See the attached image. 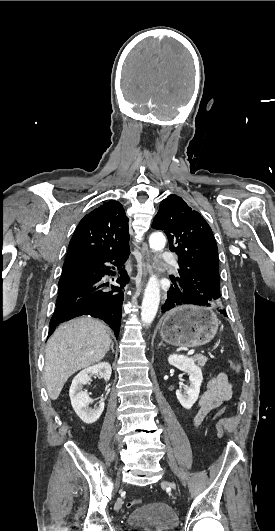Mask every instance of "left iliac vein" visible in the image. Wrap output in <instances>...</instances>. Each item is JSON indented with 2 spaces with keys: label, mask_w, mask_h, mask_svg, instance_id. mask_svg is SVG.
<instances>
[{
  "label": "left iliac vein",
  "mask_w": 275,
  "mask_h": 531,
  "mask_svg": "<svg viewBox=\"0 0 275 531\" xmlns=\"http://www.w3.org/2000/svg\"><path fill=\"white\" fill-rule=\"evenodd\" d=\"M164 483H167V482H166V481H164ZM168 485H169V486H171V487H173V488H175V487H176L174 483H168Z\"/></svg>",
  "instance_id": "4c4485c4"
}]
</instances>
